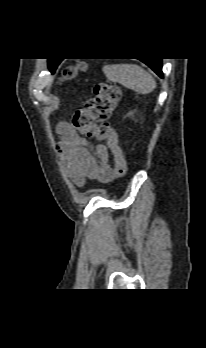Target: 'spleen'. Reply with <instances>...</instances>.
<instances>
[{
	"instance_id": "obj_1",
	"label": "spleen",
	"mask_w": 206,
	"mask_h": 348,
	"mask_svg": "<svg viewBox=\"0 0 206 348\" xmlns=\"http://www.w3.org/2000/svg\"><path fill=\"white\" fill-rule=\"evenodd\" d=\"M109 81L120 83L138 94H149L156 88L150 73L136 64H114L103 68Z\"/></svg>"
}]
</instances>
